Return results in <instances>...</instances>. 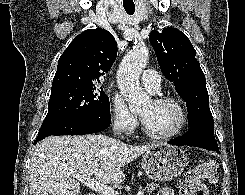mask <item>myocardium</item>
Segmentation results:
<instances>
[{"label":"myocardium","mask_w":245,"mask_h":195,"mask_svg":"<svg viewBox=\"0 0 245 195\" xmlns=\"http://www.w3.org/2000/svg\"><path fill=\"white\" fill-rule=\"evenodd\" d=\"M155 104H170L175 106L180 113V122L177 127L168 133L156 134L151 132L144 122L142 123V130L146 136L155 140H167L181 134L188 125L189 117L185 106L176 98L170 96H160L153 100Z\"/></svg>","instance_id":"1"}]
</instances>
